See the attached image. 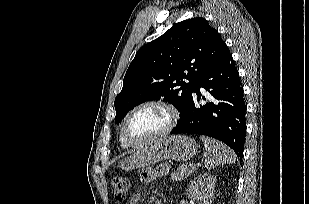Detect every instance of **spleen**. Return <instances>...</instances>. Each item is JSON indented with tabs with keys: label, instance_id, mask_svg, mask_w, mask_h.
I'll return each mask as SVG.
<instances>
[{
	"label": "spleen",
	"instance_id": "spleen-1",
	"mask_svg": "<svg viewBox=\"0 0 309 204\" xmlns=\"http://www.w3.org/2000/svg\"><path fill=\"white\" fill-rule=\"evenodd\" d=\"M201 140L207 152L204 159L206 168L212 169L225 163H235V153L225 144L205 136H202Z\"/></svg>",
	"mask_w": 309,
	"mask_h": 204
}]
</instances>
